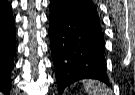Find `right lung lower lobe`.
<instances>
[{
  "label": "right lung lower lobe",
  "mask_w": 135,
  "mask_h": 95,
  "mask_svg": "<svg viewBox=\"0 0 135 95\" xmlns=\"http://www.w3.org/2000/svg\"><path fill=\"white\" fill-rule=\"evenodd\" d=\"M15 21L10 15L0 16V91L9 94L15 55Z\"/></svg>",
  "instance_id": "obj_1"
}]
</instances>
